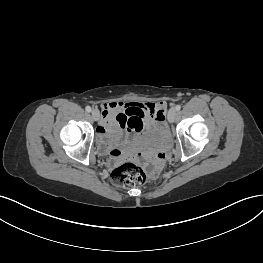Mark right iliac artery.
<instances>
[{"label":"right iliac artery","mask_w":263,"mask_h":263,"mask_svg":"<svg viewBox=\"0 0 263 263\" xmlns=\"http://www.w3.org/2000/svg\"><path fill=\"white\" fill-rule=\"evenodd\" d=\"M85 109H86L87 112H91V107L90 106H86Z\"/></svg>","instance_id":"obj_1"}]
</instances>
